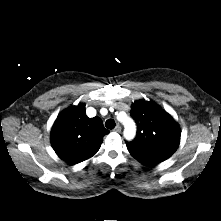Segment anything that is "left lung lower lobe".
Instances as JSON below:
<instances>
[{
    "label": "left lung lower lobe",
    "instance_id": "0a47b994",
    "mask_svg": "<svg viewBox=\"0 0 221 221\" xmlns=\"http://www.w3.org/2000/svg\"><path fill=\"white\" fill-rule=\"evenodd\" d=\"M159 162H154V163H152L151 165H157Z\"/></svg>",
    "mask_w": 221,
    "mask_h": 221
}]
</instances>
